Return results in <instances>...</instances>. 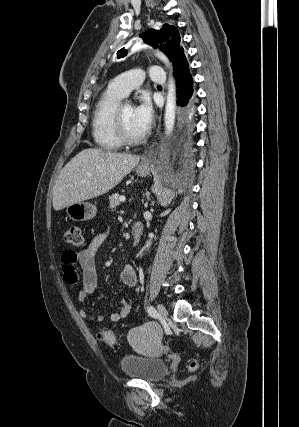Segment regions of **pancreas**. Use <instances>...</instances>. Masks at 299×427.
I'll return each instance as SVG.
<instances>
[{
	"label": "pancreas",
	"instance_id": "1",
	"mask_svg": "<svg viewBox=\"0 0 299 427\" xmlns=\"http://www.w3.org/2000/svg\"><path fill=\"white\" fill-rule=\"evenodd\" d=\"M119 205H120L119 195L118 194H113L109 198V208L111 210H114Z\"/></svg>",
	"mask_w": 299,
	"mask_h": 427
}]
</instances>
